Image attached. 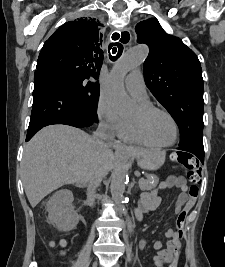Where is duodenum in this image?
<instances>
[{
	"mask_svg": "<svg viewBox=\"0 0 225 267\" xmlns=\"http://www.w3.org/2000/svg\"><path fill=\"white\" fill-rule=\"evenodd\" d=\"M137 215H138V217H140V215L138 214V211H137Z\"/></svg>",
	"mask_w": 225,
	"mask_h": 267,
	"instance_id": "obj_1",
	"label": "duodenum"
}]
</instances>
